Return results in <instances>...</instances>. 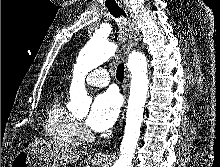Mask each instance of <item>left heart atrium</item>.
Wrapping results in <instances>:
<instances>
[{
  "mask_svg": "<svg viewBox=\"0 0 220 167\" xmlns=\"http://www.w3.org/2000/svg\"><path fill=\"white\" fill-rule=\"evenodd\" d=\"M120 107L121 100L116 92L108 90L98 95L87 118L88 126L97 132L109 129L117 120Z\"/></svg>",
  "mask_w": 220,
  "mask_h": 167,
  "instance_id": "1",
  "label": "left heart atrium"
}]
</instances>
